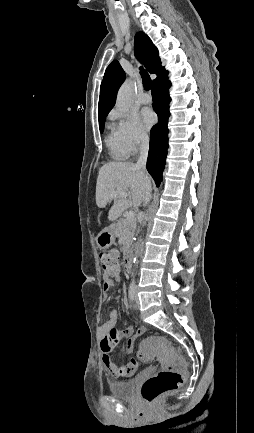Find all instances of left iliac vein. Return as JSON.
I'll use <instances>...</instances> for the list:
<instances>
[{"mask_svg": "<svg viewBox=\"0 0 254 433\" xmlns=\"http://www.w3.org/2000/svg\"><path fill=\"white\" fill-rule=\"evenodd\" d=\"M135 301H136V307H138V297H137V290H135Z\"/></svg>", "mask_w": 254, "mask_h": 433, "instance_id": "obj_1", "label": "left iliac vein"}]
</instances>
